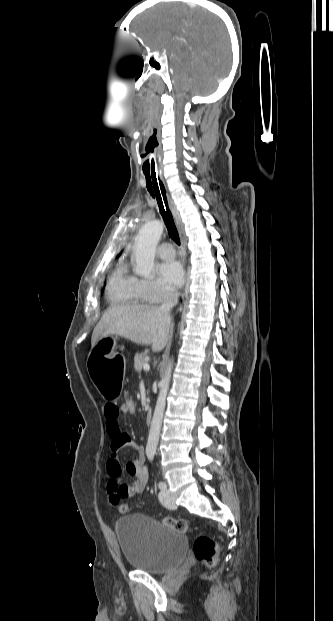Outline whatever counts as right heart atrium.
I'll return each mask as SVG.
<instances>
[{"label": "right heart atrium", "instance_id": "right-heart-atrium-1", "mask_svg": "<svg viewBox=\"0 0 333 621\" xmlns=\"http://www.w3.org/2000/svg\"><path fill=\"white\" fill-rule=\"evenodd\" d=\"M141 291L150 303H159L173 296L174 292L155 280H139Z\"/></svg>", "mask_w": 333, "mask_h": 621}]
</instances>
